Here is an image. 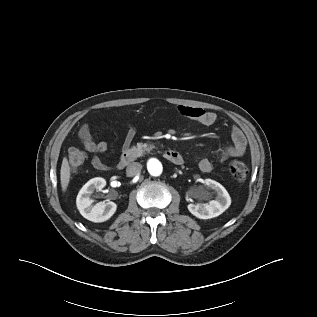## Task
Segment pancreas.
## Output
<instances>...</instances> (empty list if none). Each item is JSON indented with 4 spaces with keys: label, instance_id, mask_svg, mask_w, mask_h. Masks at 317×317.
<instances>
[{
    "label": "pancreas",
    "instance_id": "cf45deb5",
    "mask_svg": "<svg viewBox=\"0 0 317 317\" xmlns=\"http://www.w3.org/2000/svg\"><path fill=\"white\" fill-rule=\"evenodd\" d=\"M152 148H154L153 144L147 143H138L136 146L128 149L127 153L132 156V158L140 157L145 152H149Z\"/></svg>",
    "mask_w": 317,
    "mask_h": 317
}]
</instances>
